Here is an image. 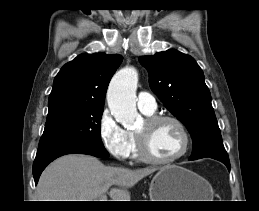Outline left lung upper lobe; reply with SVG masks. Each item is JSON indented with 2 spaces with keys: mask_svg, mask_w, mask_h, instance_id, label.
Segmentation results:
<instances>
[{
  "mask_svg": "<svg viewBox=\"0 0 259 211\" xmlns=\"http://www.w3.org/2000/svg\"><path fill=\"white\" fill-rule=\"evenodd\" d=\"M139 60L148 69L152 91L191 134L193 152L189 160L228 159L210 91L196 61L175 49L141 56Z\"/></svg>",
  "mask_w": 259,
  "mask_h": 211,
  "instance_id": "left-lung-upper-lobe-1",
  "label": "left lung upper lobe"
}]
</instances>
